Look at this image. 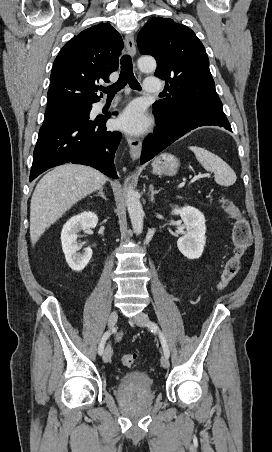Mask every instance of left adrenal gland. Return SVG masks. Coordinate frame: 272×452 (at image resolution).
I'll use <instances>...</instances> for the list:
<instances>
[{"label": "left adrenal gland", "mask_w": 272, "mask_h": 452, "mask_svg": "<svg viewBox=\"0 0 272 452\" xmlns=\"http://www.w3.org/2000/svg\"><path fill=\"white\" fill-rule=\"evenodd\" d=\"M159 191H160V190H155V189H154L153 184H150V185H149V192H148V194H149V196H150V201H151L152 203H154V196H155L156 194H158Z\"/></svg>", "instance_id": "a2214340"}]
</instances>
